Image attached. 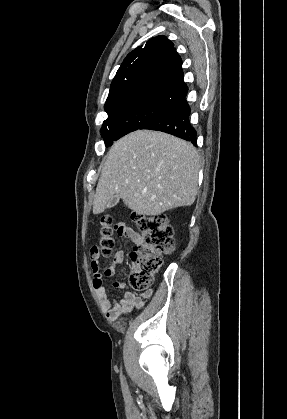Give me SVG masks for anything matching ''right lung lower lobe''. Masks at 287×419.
Returning <instances> with one entry per match:
<instances>
[{"label": "right lung lower lobe", "instance_id": "right-lung-lower-lobe-1", "mask_svg": "<svg viewBox=\"0 0 287 419\" xmlns=\"http://www.w3.org/2000/svg\"><path fill=\"white\" fill-rule=\"evenodd\" d=\"M189 116L190 108L185 98H183L170 104L140 129L166 132L196 145V131L190 125Z\"/></svg>", "mask_w": 287, "mask_h": 419}]
</instances>
